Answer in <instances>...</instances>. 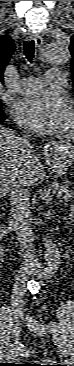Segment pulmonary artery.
<instances>
[{
  "label": "pulmonary artery",
  "mask_w": 74,
  "mask_h": 366,
  "mask_svg": "<svg viewBox=\"0 0 74 366\" xmlns=\"http://www.w3.org/2000/svg\"><path fill=\"white\" fill-rule=\"evenodd\" d=\"M66 78V73L60 69L50 70L45 78L29 77L20 80L17 90L24 94H34L42 90L46 85L59 87Z\"/></svg>",
  "instance_id": "obj_1"
}]
</instances>
